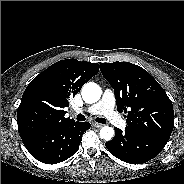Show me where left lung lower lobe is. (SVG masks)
Returning a JSON list of instances; mask_svg holds the SVG:
<instances>
[{"label": "left lung lower lobe", "mask_w": 184, "mask_h": 184, "mask_svg": "<svg viewBox=\"0 0 184 184\" xmlns=\"http://www.w3.org/2000/svg\"><path fill=\"white\" fill-rule=\"evenodd\" d=\"M105 145L112 155L130 164L146 163L164 148L128 127L115 128V137Z\"/></svg>", "instance_id": "1"}]
</instances>
